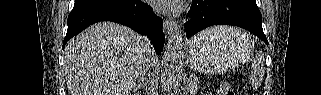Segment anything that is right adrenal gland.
I'll return each instance as SVG.
<instances>
[{
    "instance_id": "2a0ac1e0",
    "label": "right adrenal gland",
    "mask_w": 321,
    "mask_h": 95,
    "mask_svg": "<svg viewBox=\"0 0 321 95\" xmlns=\"http://www.w3.org/2000/svg\"><path fill=\"white\" fill-rule=\"evenodd\" d=\"M148 83V78L142 79L139 84L134 88L133 93L135 94L139 88H144Z\"/></svg>"
}]
</instances>
